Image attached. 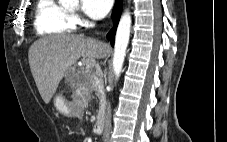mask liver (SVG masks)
<instances>
[{
  "instance_id": "6515ba94",
  "label": "liver",
  "mask_w": 227,
  "mask_h": 142,
  "mask_svg": "<svg viewBox=\"0 0 227 142\" xmlns=\"http://www.w3.org/2000/svg\"><path fill=\"white\" fill-rule=\"evenodd\" d=\"M109 49L108 44L82 34L50 35L35 41L29 48V65L43 101L50 102L65 73L81 57L92 67Z\"/></svg>"
}]
</instances>
